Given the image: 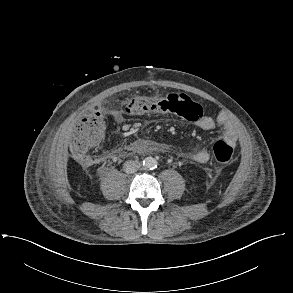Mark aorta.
<instances>
[{
  "instance_id": "obj_1",
  "label": "aorta",
  "mask_w": 293,
  "mask_h": 293,
  "mask_svg": "<svg viewBox=\"0 0 293 293\" xmlns=\"http://www.w3.org/2000/svg\"><path fill=\"white\" fill-rule=\"evenodd\" d=\"M157 160L153 157H146L144 160H143V166L146 168V169H155L157 167Z\"/></svg>"
}]
</instances>
